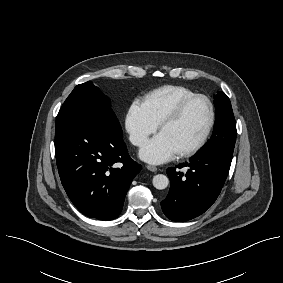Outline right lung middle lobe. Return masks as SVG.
I'll return each mask as SVG.
<instances>
[{"label": "right lung middle lobe", "mask_w": 283, "mask_h": 283, "mask_svg": "<svg viewBox=\"0 0 283 283\" xmlns=\"http://www.w3.org/2000/svg\"><path fill=\"white\" fill-rule=\"evenodd\" d=\"M113 113L109 99L91 81L77 85L65 100L56 118V127L86 114Z\"/></svg>", "instance_id": "1"}]
</instances>
